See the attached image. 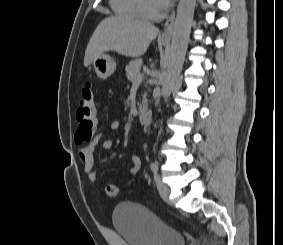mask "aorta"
Here are the masks:
<instances>
[{"label": "aorta", "mask_w": 283, "mask_h": 245, "mask_svg": "<svg viewBox=\"0 0 283 245\" xmlns=\"http://www.w3.org/2000/svg\"><path fill=\"white\" fill-rule=\"evenodd\" d=\"M196 0H180L174 24L170 55L162 80V96H167L179 76L188 47Z\"/></svg>", "instance_id": "aorta-1"}]
</instances>
